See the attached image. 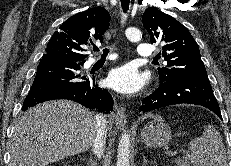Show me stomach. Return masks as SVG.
Masks as SVG:
<instances>
[{
    "label": "stomach",
    "mask_w": 231,
    "mask_h": 166,
    "mask_svg": "<svg viewBox=\"0 0 231 166\" xmlns=\"http://www.w3.org/2000/svg\"><path fill=\"white\" fill-rule=\"evenodd\" d=\"M171 140V128L160 116H152L141 131V141L152 148L163 147Z\"/></svg>",
    "instance_id": "obj_1"
}]
</instances>
